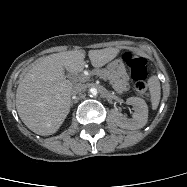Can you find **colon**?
<instances>
[{"instance_id": "colon-1", "label": "colon", "mask_w": 187, "mask_h": 187, "mask_svg": "<svg viewBox=\"0 0 187 187\" xmlns=\"http://www.w3.org/2000/svg\"><path fill=\"white\" fill-rule=\"evenodd\" d=\"M123 59L130 69L133 80L135 81V90L141 95H148L147 64L146 59L139 54L126 52Z\"/></svg>"}]
</instances>
